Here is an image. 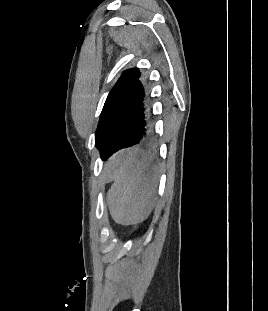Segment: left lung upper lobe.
<instances>
[{"label": "left lung upper lobe", "mask_w": 268, "mask_h": 311, "mask_svg": "<svg viewBox=\"0 0 268 311\" xmlns=\"http://www.w3.org/2000/svg\"><path fill=\"white\" fill-rule=\"evenodd\" d=\"M140 77L141 72L138 68H130L123 71L108 94L95 133V145L100 151L101 158L120 123L119 116L127 105L130 93Z\"/></svg>", "instance_id": "5c2ea615"}]
</instances>
